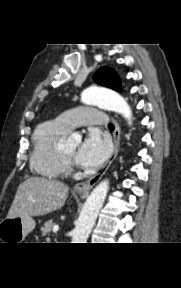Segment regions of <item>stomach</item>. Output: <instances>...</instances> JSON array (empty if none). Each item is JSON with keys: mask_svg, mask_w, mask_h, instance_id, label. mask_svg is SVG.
<instances>
[{"mask_svg": "<svg viewBox=\"0 0 181 288\" xmlns=\"http://www.w3.org/2000/svg\"><path fill=\"white\" fill-rule=\"evenodd\" d=\"M34 228L32 217H7L0 222V240L4 243H21Z\"/></svg>", "mask_w": 181, "mask_h": 288, "instance_id": "stomach-1", "label": "stomach"}]
</instances>
